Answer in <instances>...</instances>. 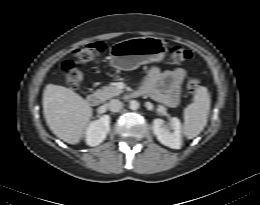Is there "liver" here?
I'll use <instances>...</instances> for the list:
<instances>
[{
	"instance_id": "liver-1",
	"label": "liver",
	"mask_w": 260,
	"mask_h": 205,
	"mask_svg": "<svg viewBox=\"0 0 260 205\" xmlns=\"http://www.w3.org/2000/svg\"><path fill=\"white\" fill-rule=\"evenodd\" d=\"M92 108L79 94L48 84L43 92V114L50 130L69 144L80 142L92 118Z\"/></svg>"
}]
</instances>
